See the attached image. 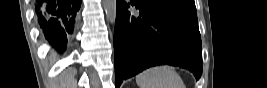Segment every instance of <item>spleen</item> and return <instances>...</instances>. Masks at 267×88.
I'll return each mask as SVG.
<instances>
[{
  "label": "spleen",
  "mask_w": 267,
  "mask_h": 88,
  "mask_svg": "<svg viewBox=\"0 0 267 88\" xmlns=\"http://www.w3.org/2000/svg\"><path fill=\"white\" fill-rule=\"evenodd\" d=\"M139 88H186L180 75L167 65L149 68L136 76Z\"/></svg>",
  "instance_id": "3e777b00"
}]
</instances>
